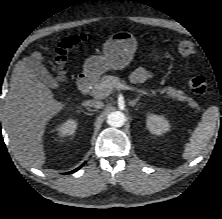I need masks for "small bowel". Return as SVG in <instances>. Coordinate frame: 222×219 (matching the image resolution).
I'll return each instance as SVG.
<instances>
[{"label":"small bowel","mask_w":222,"mask_h":219,"mask_svg":"<svg viewBox=\"0 0 222 219\" xmlns=\"http://www.w3.org/2000/svg\"><path fill=\"white\" fill-rule=\"evenodd\" d=\"M150 77L151 74L149 71H147L144 68H138L132 73L131 80L135 83H143L146 80H148Z\"/></svg>","instance_id":"small-bowel-1"}]
</instances>
